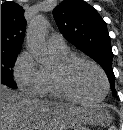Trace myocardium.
I'll use <instances>...</instances> for the list:
<instances>
[{"label": "myocardium", "mask_w": 123, "mask_h": 130, "mask_svg": "<svg viewBox=\"0 0 123 130\" xmlns=\"http://www.w3.org/2000/svg\"><path fill=\"white\" fill-rule=\"evenodd\" d=\"M78 63H86L91 66H93L95 69L98 70L100 75L103 78L104 81V92L102 96L98 99H85L80 96H78L72 89L70 83H69V73L72 70V68L78 64ZM53 76L55 83L59 89V91L70 101L78 102V103H83V104H96L105 99L107 96L109 89H110V84L108 77L104 71V69L95 61L84 57V56H79V55H70L69 57L65 59H61L57 66L53 69Z\"/></svg>", "instance_id": "obj_1"}]
</instances>
